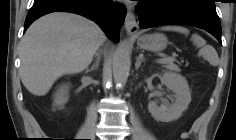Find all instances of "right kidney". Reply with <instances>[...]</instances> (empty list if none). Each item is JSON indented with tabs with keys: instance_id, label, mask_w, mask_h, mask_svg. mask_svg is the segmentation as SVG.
I'll return each instance as SVG.
<instances>
[{
	"instance_id": "1",
	"label": "right kidney",
	"mask_w": 236,
	"mask_h": 140,
	"mask_svg": "<svg viewBox=\"0 0 236 140\" xmlns=\"http://www.w3.org/2000/svg\"><path fill=\"white\" fill-rule=\"evenodd\" d=\"M68 86L60 87L54 96V105L56 107L63 106L68 101Z\"/></svg>"
}]
</instances>
